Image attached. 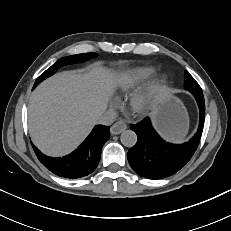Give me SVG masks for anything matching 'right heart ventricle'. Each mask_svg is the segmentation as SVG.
<instances>
[{
	"mask_svg": "<svg viewBox=\"0 0 231 231\" xmlns=\"http://www.w3.org/2000/svg\"><path fill=\"white\" fill-rule=\"evenodd\" d=\"M155 73L152 68H140L124 72L118 81L120 93L127 94Z\"/></svg>",
	"mask_w": 231,
	"mask_h": 231,
	"instance_id": "e07e8e85",
	"label": "right heart ventricle"
}]
</instances>
